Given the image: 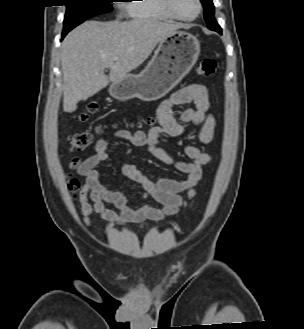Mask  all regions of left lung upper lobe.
<instances>
[{
    "mask_svg": "<svg viewBox=\"0 0 304 329\" xmlns=\"http://www.w3.org/2000/svg\"><path fill=\"white\" fill-rule=\"evenodd\" d=\"M204 6V18L208 25L212 23L214 18V4L212 0H200Z\"/></svg>",
    "mask_w": 304,
    "mask_h": 329,
    "instance_id": "left-lung-upper-lobe-1",
    "label": "left lung upper lobe"
}]
</instances>
